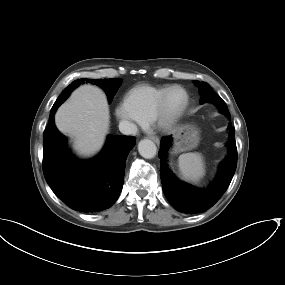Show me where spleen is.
I'll list each match as a JSON object with an SVG mask.
<instances>
[{
  "instance_id": "spleen-1",
  "label": "spleen",
  "mask_w": 285,
  "mask_h": 285,
  "mask_svg": "<svg viewBox=\"0 0 285 285\" xmlns=\"http://www.w3.org/2000/svg\"><path fill=\"white\" fill-rule=\"evenodd\" d=\"M178 167L186 181L198 182L205 175L203 155L198 152L181 154L178 158Z\"/></svg>"
}]
</instances>
